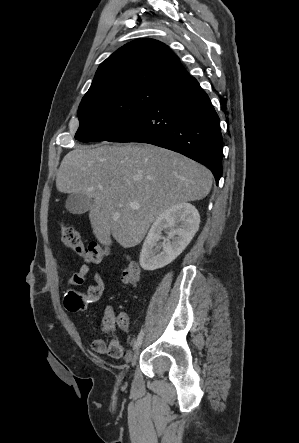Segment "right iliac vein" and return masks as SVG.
Here are the masks:
<instances>
[{
    "label": "right iliac vein",
    "mask_w": 299,
    "mask_h": 443,
    "mask_svg": "<svg viewBox=\"0 0 299 443\" xmlns=\"http://www.w3.org/2000/svg\"><path fill=\"white\" fill-rule=\"evenodd\" d=\"M139 353H140V349L137 348V350L135 351V353L132 357V361H131L132 366H134L136 364L138 357H139Z\"/></svg>",
    "instance_id": "obj_1"
}]
</instances>
